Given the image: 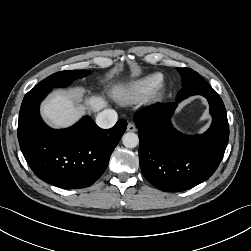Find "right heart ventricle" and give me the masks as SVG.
Segmentation results:
<instances>
[{"instance_id":"e07e8e85","label":"right heart ventricle","mask_w":251,"mask_h":251,"mask_svg":"<svg viewBox=\"0 0 251 251\" xmlns=\"http://www.w3.org/2000/svg\"><path fill=\"white\" fill-rule=\"evenodd\" d=\"M162 82V74L152 73L128 82L121 87L120 94L129 101L139 100L155 91Z\"/></svg>"}]
</instances>
